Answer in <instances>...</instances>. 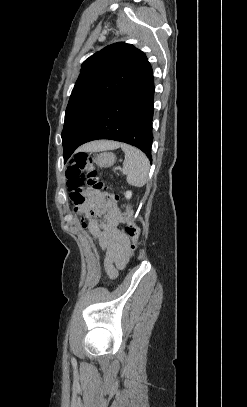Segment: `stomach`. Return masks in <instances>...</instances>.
<instances>
[{
	"label": "stomach",
	"instance_id": "0dacf381",
	"mask_svg": "<svg viewBox=\"0 0 247 407\" xmlns=\"http://www.w3.org/2000/svg\"><path fill=\"white\" fill-rule=\"evenodd\" d=\"M116 161V156L112 152H103L95 156L94 163L100 168L111 167Z\"/></svg>",
	"mask_w": 247,
	"mask_h": 407
}]
</instances>
